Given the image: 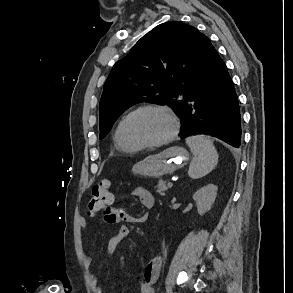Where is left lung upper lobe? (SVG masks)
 Returning <instances> with one entry per match:
<instances>
[{
    "instance_id": "left-lung-upper-lobe-1",
    "label": "left lung upper lobe",
    "mask_w": 293,
    "mask_h": 293,
    "mask_svg": "<svg viewBox=\"0 0 293 293\" xmlns=\"http://www.w3.org/2000/svg\"><path fill=\"white\" fill-rule=\"evenodd\" d=\"M208 37L178 21L160 24L118 61L104 85L99 106L100 138L129 107L149 102L178 114L182 98L202 79L210 49Z\"/></svg>"
}]
</instances>
